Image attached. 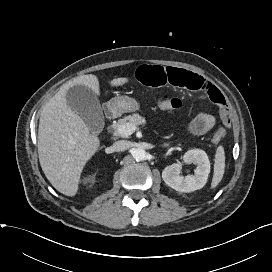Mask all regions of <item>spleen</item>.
<instances>
[{
  "mask_svg": "<svg viewBox=\"0 0 272 272\" xmlns=\"http://www.w3.org/2000/svg\"><path fill=\"white\" fill-rule=\"evenodd\" d=\"M225 169V152L222 146H219L215 154L214 175L211 188H215L222 180Z\"/></svg>",
  "mask_w": 272,
  "mask_h": 272,
  "instance_id": "obj_1",
  "label": "spleen"
}]
</instances>
